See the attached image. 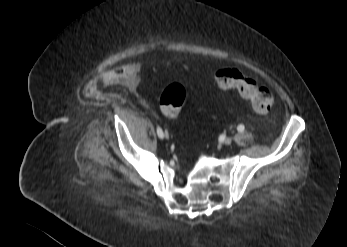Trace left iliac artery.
<instances>
[{"mask_svg": "<svg viewBox=\"0 0 347 247\" xmlns=\"http://www.w3.org/2000/svg\"><path fill=\"white\" fill-rule=\"evenodd\" d=\"M237 130H238L239 132H243V131L245 130L244 125H242V124L238 125Z\"/></svg>", "mask_w": 347, "mask_h": 247, "instance_id": "1", "label": "left iliac artery"}]
</instances>
